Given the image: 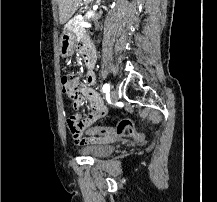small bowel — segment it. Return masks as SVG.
<instances>
[{
	"mask_svg": "<svg viewBox=\"0 0 217 202\" xmlns=\"http://www.w3.org/2000/svg\"><path fill=\"white\" fill-rule=\"evenodd\" d=\"M90 50L92 57L94 58V63L96 60V52L92 45H90ZM96 77L94 72L88 71L86 74V82L89 85L95 83ZM83 96L88 103L89 115L82 119L81 114L77 111L71 116H76V131L72 132V139L75 144H105L115 141L120 134L116 131H82V126H90L93 122L104 118L108 115V108L105 106L101 96L94 90L84 91ZM73 105H77V110L83 105V99H78Z\"/></svg>",
	"mask_w": 217,
	"mask_h": 202,
	"instance_id": "obj_1",
	"label": "small bowel"
}]
</instances>
